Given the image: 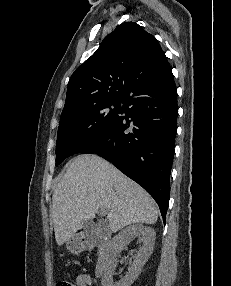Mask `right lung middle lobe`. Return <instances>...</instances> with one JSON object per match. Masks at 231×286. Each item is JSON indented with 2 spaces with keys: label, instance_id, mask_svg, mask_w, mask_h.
Instances as JSON below:
<instances>
[{
  "label": "right lung middle lobe",
  "instance_id": "1",
  "mask_svg": "<svg viewBox=\"0 0 231 286\" xmlns=\"http://www.w3.org/2000/svg\"><path fill=\"white\" fill-rule=\"evenodd\" d=\"M122 102H103L62 116L56 143V166L105 134L121 118Z\"/></svg>",
  "mask_w": 231,
  "mask_h": 286
}]
</instances>
